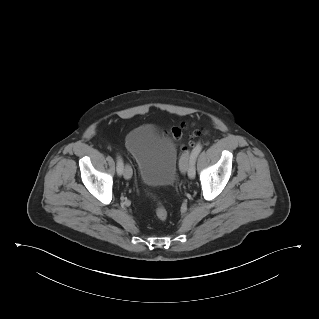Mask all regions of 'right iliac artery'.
<instances>
[{
  "mask_svg": "<svg viewBox=\"0 0 319 319\" xmlns=\"http://www.w3.org/2000/svg\"><path fill=\"white\" fill-rule=\"evenodd\" d=\"M124 168V163L121 156H117V173L118 175H122Z\"/></svg>",
  "mask_w": 319,
  "mask_h": 319,
  "instance_id": "82829eb1",
  "label": "right iliac artery"
}]
</instances>
